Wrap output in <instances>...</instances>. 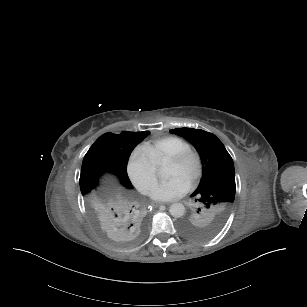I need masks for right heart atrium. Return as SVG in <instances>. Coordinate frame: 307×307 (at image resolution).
Here are the masks:
<instances>
[{
  "label": "right heart atrium",
  "mask_w": 307,
  "mask_h": 307,
  "mask_svg": "<svg viewBox=\"0 0 307 307\" xmlns=\"http://www.w3.org/2000/svg\"><path fill=\"white\" fill-rule=\"evenodd\" d=\"M156 156L147 152L145 145H135L129 152L126 170L132 184L146 192L155 178Z\"/></svg>",
  "instance_id": "right-heart-atrium-1"
}]
</instances>
